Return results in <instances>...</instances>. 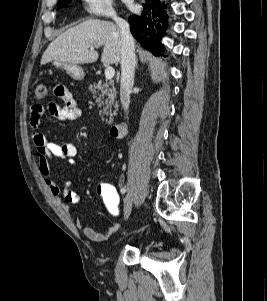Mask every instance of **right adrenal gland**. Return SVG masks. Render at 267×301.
I'll return each mask as SVG.
<instances>
[{
  "instance_id": "1",
  "label": "right adrenal gland",
  "mask_w": 267,
  "mask_h": 301,
  "mask_svg": "<svg viewBox=\"0 0 267 301\" xmlns=\"http://www.w3.org/2000/svg\"><path fill=\"white\" fill-rule=\"evenodd\" d=\"M138 59L136 60V67H137ZM138 68V67H137Z\"/></svg>"
}]
</instances>
